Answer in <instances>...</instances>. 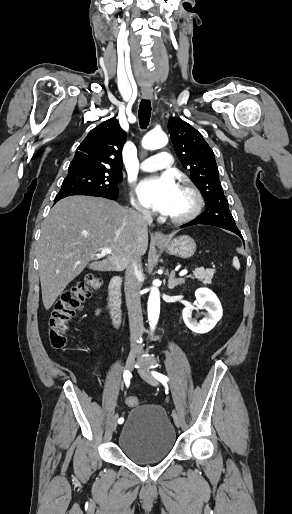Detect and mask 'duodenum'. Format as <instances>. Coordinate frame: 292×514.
Returning <instances> with one entry per match:
<instances>
[{
  "label": "duodenum",
  "mask_w": 292,
  "mask_h": 514,
  "mask_svg": "<svg viewBox=\"0 0 292 514\" xmlns=\"http://www.w3.org/2000/svg\"><path fill=\"white\" fill-rule=\"evenodd\" d=\"M122 285V278L114 276L109 282V291L107 299V307L111 320L115 325H119L122 320V312L120 306V289Z\"/></svg>",
  "instance_id": "410a0bca"
}]
</instances>
